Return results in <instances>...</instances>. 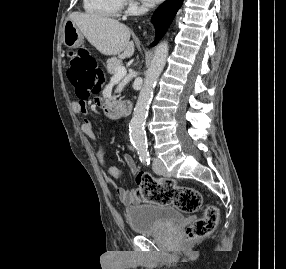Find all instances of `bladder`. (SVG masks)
<instances>
[{"label": "bladder", "mask_w": 286, "mask_h": 269, "mask_svg": "<svg viewBox=\"0 0 286 269\" xmlns=\"http://www.w3.org/2000/svg\"><path fill=\"white\" fill-rule=\"evenodd\" d=\"M127 222L136 234L155 233L180 222L182 213L168 204L144 203L128 207Z\"/></svg>", "instance_id": "1"}]
</instances>
